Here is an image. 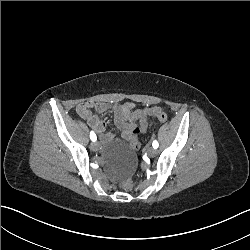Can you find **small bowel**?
<instances>
[{"label": "small bowel", "instance_id": "c3829d8e", "mask_svg": "<svg viewBox=\"0 0 250 250\" xmlns=\"http://www.w3.org/2000/svg\"><path fill=\"white\" fill-rule=\"evenodd\" d=\"M111 106L106 103H79L76 107L77 113L90 122L94 131L104 142L114 139L112 133L107 132V124L104 120L92 114V110L98 113L106 112ZM114 122L121 132L123 140H131L134 129L146 132L148 127V116L144 113V108L134 109L128 104L114 105L112 107Z\"/></svg>", "mask_w": 250, "mask_h": 250}]
</instances>
